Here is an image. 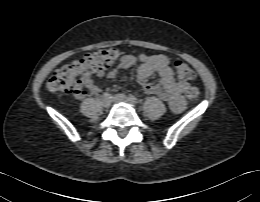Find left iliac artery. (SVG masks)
I'll use <instances>...</instances> for the list:
<instances>
[{"mask_svg":"<svg viewBox=\"0 0 260 202\" xmlns=\"http://www.w3.org/2000/svg\"><path fill=\"white\" fill-rule=\"evenodd\" d=\"M129 99H130V101L132 102V103H134V104H137L139 101H138V99L135 97V96H133V95H130L129 96Z\"/></svg>","mask_w":260,"mask_h":202,"instance_id":"1","label":"left iliac artery"}]
</instances>
